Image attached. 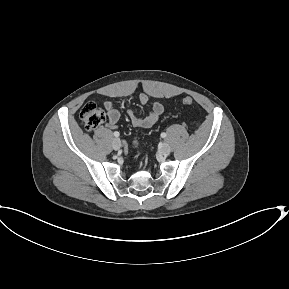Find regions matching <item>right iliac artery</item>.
I'll return each instance as SVG.
<instances>
[{
	"label": "right iliac artery",
	"mask_w": 289,
	"mask_h": 289,
	"mask_svg": "<svg viewBox=\"0 0 289 289\" xmlns=\"http://www.w3.org/2000/svg\"><path fill=\"white\" fill-rule=\"evenodd\" d=\"M119 135H120L119 132H117V131L114 132L115 137H119Z\"/></svg>",
	"instance_id": "1"
}]
</instances>
